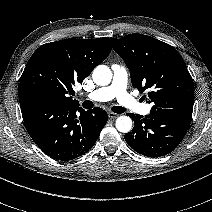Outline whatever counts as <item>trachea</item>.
<instances>
[{
  "label": "trachea",
  "mask_w": 212,
  "mask_h": 212,
  "mask_svg": "<svg viewBox=\"0 0 212 212\" xmlns=\"http://www.w3.org/2000/svg\"><path fill=\"white\" fill-rule=\"evenodd\" d=\"M93 106H94V104L91 101L87 100V101L84 102L85 108H92ZM112 111L114 113L120 114V113H124L126 111V109L121 107V106H114V107H112Z\"/></svg>",
  "instance_id": "trachea-1"
}]
</instances>
